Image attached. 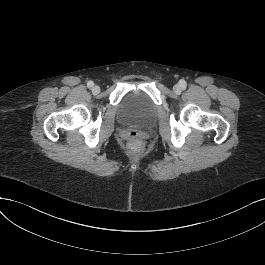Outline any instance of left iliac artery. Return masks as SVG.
I'll return each instance as SVG.
<instances>
[{"mask_svg":"<svg viewBox=\"0 0 265 265\" xmlns=\"http://www.w3.org/2000/svg\"><path fill=\"white\" fill-rule=\"evenodd\" d=\"M180 85L182 88H185L186 87V82L184 80H181L180 81Z\"/></svg>","mask_w":265,"mask_h":265,"instance_id":"obj_1","label":"left iliac artery"}]
</instances>
